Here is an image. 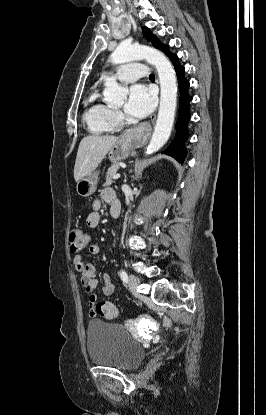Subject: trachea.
<instances>
[{
  "instance_id": "obj_1",
  "label": "trachea",
  "mask_w": 266,
  "mask_h": 415,
  "mask_svg": "<svg viewBox=\"0 0 266 415\" xmlns=\"http://www.w3.org/2000/svg\"><path fill=\"white\" fill-rule=\"evenodd\" d=\"M149 78H151V79L155 78L154 74H151V75L149 76Z\"/></svg>"
}]
</instances>
